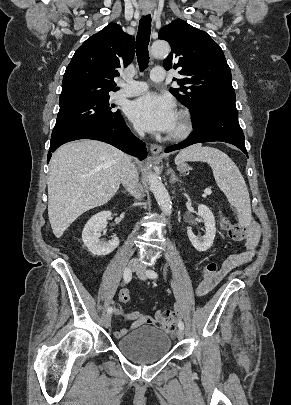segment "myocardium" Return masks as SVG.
<instances>
[{
	"label": "myocardium",
	"instance_id": "f54148a6",
	"mask_svg": "<svg viewBox=\"0 0 291 405\" xmlns=\"http://www.w3.org/2000/svg\"><path fill=\"white\" fill-rule=\"evenodd\" d=\"M177 117L179 119V127L176 130L171 131L168 135V139L172 141L186 139L194 129L192 116L187 110L180 109L177 112Z\"/></svg>",
	"mask_w": 291,
	"mask_h": 405
}]
</instances>
